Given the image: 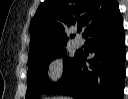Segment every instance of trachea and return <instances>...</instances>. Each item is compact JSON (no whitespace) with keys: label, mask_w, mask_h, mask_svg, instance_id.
<instances>
[{"label":"trachea","mask_w":128,"mask_h":99,"mask_svg":"<svg viewBox=\"0 0 128 99\" xmlns=\"http://www.w3.org/2000/svg\"><path fill=\"white\" fill-rule=\"evenodd\" d=\"M82 30V27L81 26H78V31H81Z\"/></svg>","instance_id":"trachea-1"}]
</instances>
